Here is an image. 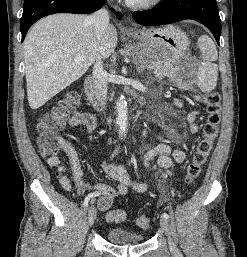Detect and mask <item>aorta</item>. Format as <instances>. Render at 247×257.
<instances>
[{
  "mask_svg": "<svg viewBox=\"0 0 247 257\" xmlns=\"http://www.w3.org/2000/svg\"><path fill=\"white\" fill-rule=\"evenodd\" d=\"M116 114L119 136L123 137L126 135L128 120L127 102L123 96L119 97L116 102Z\"/></svg>",
  "mask_w": 247,
  "mask_h": 257,
  "instance_id": "obj_1",
  "label": "aorta"
}]
</instances>
